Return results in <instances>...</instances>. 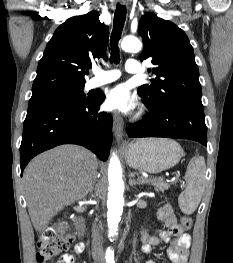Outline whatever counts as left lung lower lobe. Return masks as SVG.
Masks as SVG:
<instances>
[{
  "label": "left lung lower lobe",
  "instance_id": "1",
  "mask_svg": "<svg viewBox=\"0 0 233 263\" xmlns=\"http://www.w3.org/2000/svg\"><path fill=\"white\" fill-rule=\"evenodd\" d=\"M127 136L190 139L207 146L203 105L192 101H178L161 110L150 111L143 120L128 127Z\"/></svg>",
  "mask_w": 233,
  "mask_h": 263
}]
</instances>
